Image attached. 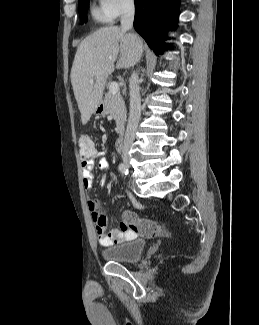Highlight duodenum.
Returning <instances> with one entry per match:
<instances>
[{
	"label": "duodenum",
	"mask_w": 259,
	"mask_h": 325,
	"mask_svg": "<svg viewBox=\"0 0 259 325\" xmlns=\"http://www.w3.org/2000/svg\"><path fill=\"white\" fill-rule=\"evenodd\" d=\"M124 141H125V139H124V136H123V135L120 136V137L117 139L116 144H115V147H116V150H117L118 152H122V151H123V148H124Z\"/></svg>",
	"instance_id": "duodenum-1"
}]
</instances>
